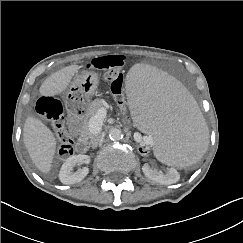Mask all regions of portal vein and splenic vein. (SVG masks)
Returning a JSON list of instances; mask_svg holds the SVG:
<instances>
[{
	"instance_id": "18ae733b",
	"label": "portal vein and splenic vein",
	"mask_w": 243,
	"mask_h": 243,
	"mask_svg": "<svg viewBox=\"0 0 243 243\" xmlns=\"http://www.w3.org/2000/svg\"><path fill=\"white\" fill-rule=\"evenodd\" d=\"M107 111L105 108H100L97 113L90 119L89 129L90 132L96 134L100 131L103 121L106 117Z\"/></svg>"
}]
</instances>
